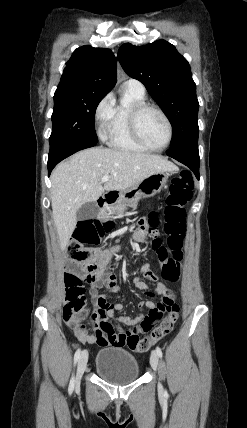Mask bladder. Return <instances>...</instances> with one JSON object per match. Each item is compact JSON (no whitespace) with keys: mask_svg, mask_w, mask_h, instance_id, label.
I'll list each match as a JSON object with an SVG mask.
<instances>
[{"mask_svg":"<svg viewBox=\"0 0 247 428\" xmlns=\"http://www.w3.org/2000/svg\"><path fill=\"white\" fill-rule=\"evenodd\" d=\"M95 371L105 381L116 385L131 383L140 375L136 357L121 347L100 350L95 360Z\"/></svg>","mask_w":247,"mask_h":428,"instance_id":"31cf9c89","label":"bladder"}]
</instances>
